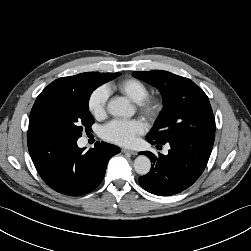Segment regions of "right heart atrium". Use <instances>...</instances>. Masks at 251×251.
Here are the masks:
<instances>
[{
    "mask_svg": "<svg viewBox=\"0 0 251 251\" xmlns=\"http://www.w3.org/2000/svg\"><path fill=\"white\" fill-rule=\"evenodd\" d=\"M109 91L107 87L100 86L96 88L88 98V110L91 115L97 119L102 118L106 114Z\"/></svg>",
    "mask_w": 251,
    "mask_h": 251,
    "instance_id": "d8ad5b80",
    "label": "right heart atrium"
}]
</instances>
